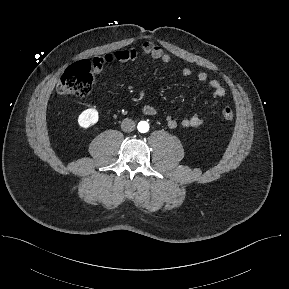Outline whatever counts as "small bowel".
Here are the masks:
<instances>
[{
	"label": "small bowel",
	"mask_w": 289,
	"mask_h": 289,
	"mask_svg": "<svg viewBox=\"0 0 289 289\" xmlns=\"http://www.w3.org/2000/svg\"><path fill=\"white\" fill-rule=\"evenodd\" d=\"M140 56L150 57L154 60H159L163 63H169L171 57L163 51V49L155 44L154 42L148 41L144 42L140 49L130 48L113 51L102 57H96L92 61V71L94 74H100L104 66L109 63L116 62H128L136 60ZM182 75L189 77L192 74V71L185 67L182 69ZM198 81L203 85H208L212 91L213 95L216 98H221L225 95L226 91L221 83L216 79H210L205 72H200L197 75ZM217 106V102L213 103L210 107V110H213ZM143 113L147 116H162L166 121L169 128L174 129L177 127L178 123L176 119L170 114L160 111L157 107L152 105H145L142 109ZM205 121V118L199 115H193L190 117L183 118L181 125L185 128H194L201 126Z\"/></svg>",
	"instance_id": "obj_1"
}]
</instances>
